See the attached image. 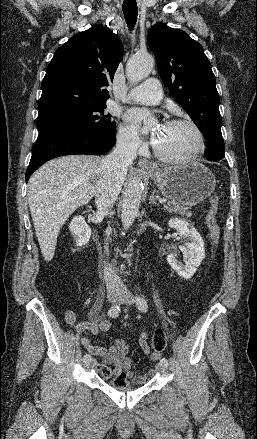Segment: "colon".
Instances as JSON below:
<instances>
[{"label":"colon","instance_id":"colon-1","mask_svg":"<svg viewBox=\"0 0 257 439\" xmlns=\"http://www.w3.org/2000/svg\"><path fill=\"white\" fill-rule=\"evenodd\" d=\"M209 208L206 215V224L208 227L211 243L213 246L218 244L220 229L217 220L218 206H219V196L213 194L208 199ZM167 336L163 330H156L152 337L151 347L153 352L160 353L165 350L167 346ZM102 376L106 379L112 378V384L116 388H125L128 385V379L125 374L113 375L110 369H106L101 372Z\"/></svg>","mask_w":257,"mask_h":439}]
</instances>
